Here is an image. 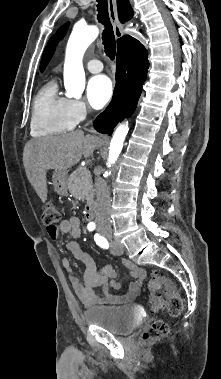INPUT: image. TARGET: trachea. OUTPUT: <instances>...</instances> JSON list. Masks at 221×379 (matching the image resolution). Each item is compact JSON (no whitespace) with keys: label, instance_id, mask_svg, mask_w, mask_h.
Listing matches in <instances>:
<instances>
[{"label":"trachea","instance_id":"trachea-1","mask_svg":"<svg viewBox=\"0 0 221 379\" xmlns=\"http://www.w3.org/2000/svg\"><path fill=\"white\" fill-rule=\"evenodd\" d=\"M97 2V19L100 23H102L105 26V29L102 33V40L105 53L111 60H114L116 54V42L112 25L109 19L108 3L107 0H97Z\"/></svg>","mask_w":221,"mask_h":379}]
</instances>
